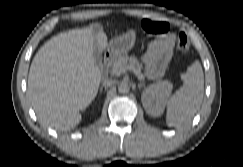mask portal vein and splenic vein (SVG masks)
Returning <instances> with one entry per match:
<instances>
[{
    "instance_id": "1",
    "label": "portal vein and splenic vein",
    "mask_w": 243,
    "mask_h": 167,
    "mask_svg": "<svg viewBox=\"0 0 243 167\" xmlns=\"http://www.w3.org/2000/svg\"><path fill=\"white\" fill-rule=\"evenodd\" d=\"M127 70H131V71H133V72L136 74V76L138 77V79H140V80H144L143 77H142L141 75H138L137 71L134 69L133 66H121V67L119 68V73H124V72H126Z\"/></svg>"
}]
</instances>
